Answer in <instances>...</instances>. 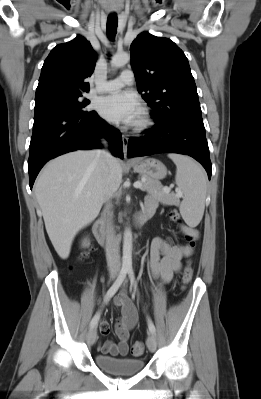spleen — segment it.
Instances as JSON below:
<instances>
[{"instance_id": "1", "label": "spleen", "mask_w": 261, "mask_h": 399, "mask_svg": "<svg viewBox=\"0 0 261 399\" xmlns=\"http://www.w3.org/2000/svg\"><path fill=\"white\" fill-rule=\"evenodd\" d=\"M168 157L177 167L175 181L184 195L180 213L189 226L195 227L200 223L204 214L206 174L203 168L190 157L174 153L169 154Z\"/></svg>"}]
</instances>
